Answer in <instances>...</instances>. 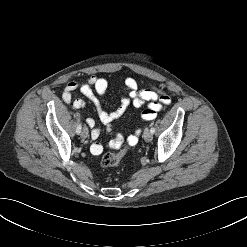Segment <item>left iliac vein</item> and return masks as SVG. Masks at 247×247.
I'll return each instance as SVG.
<instances>
[{"label":"left iliac vein","mask_w":247,"mask_h":247,"mask_svg":"<svg viewBox=\"0 0 247 247\" xmlns=\"http://www.w3.org/2000/svg\"><path fill=\"white\" fill-rule=\"evenodd\" d=\"M143 138L146 142H150L153 138V135L149 129H145L143 133Z\"/></svg>","instance_id":"4c4485c4"}]
</instances>
